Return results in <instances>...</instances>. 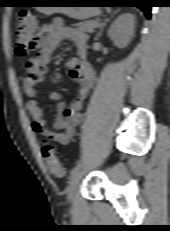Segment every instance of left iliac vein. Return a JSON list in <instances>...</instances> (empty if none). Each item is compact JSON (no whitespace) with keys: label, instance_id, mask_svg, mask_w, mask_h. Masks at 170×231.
I'll list each match as a JSON object with an SVG mask.
<instances>
[{"label":"left iliac vein","instance_id":"1","mask_svg":"<svg viewBox=\"0 0 170 231\" xmlns=\"http://www.w3.org/2000/svg\"><path fill=\"white\" fill-rule=\"evenodd\" d=\"M82 176H83V171L81 169H79L70 179L69 194H68V199L70 201H73L75 198V191L80 184Z\"/></svg>","mask_w":170,"mask_h":231}]
</instances>
